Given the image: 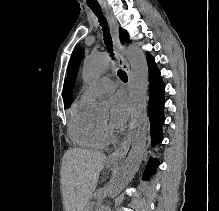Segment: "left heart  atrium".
Listing matches in <instances>:
<instances>
[{
	"mask_svg": "<svg viewBox=\"0 0 219 211\" xmlns=\"http://www.w3.org/2000/svg\"><path fill=\"white\" fill-rule=\"evenodd\" d=\"M109 112L111 125L120 129L126 123L129 115V106L124 96L116 94L109 100Z\"/></svg>",
	"mask_w": 219,
	"mask_h": 211,
	"instance_id": "39dd6f15",
	"label": "left heart atrium"
}]
</instances>
